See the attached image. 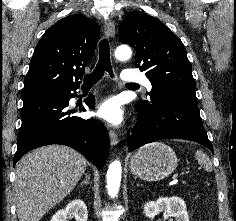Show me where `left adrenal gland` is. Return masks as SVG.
<instances>
[{
    "mask_svg": "<svg viewBox=\"0 0 236 221\" xmlns=\"http://www.w3.org/2000/svg\"><path fill=\"white\" fill-rule=\"evenodd\" d=\"M137 186H143L142 184H137Z\"/></svg>",
    "mask_w": 236,
    "mask_h": 221,
    "instance_id": "1",
    "label": "left adrenal gland"
}]
</instances>
